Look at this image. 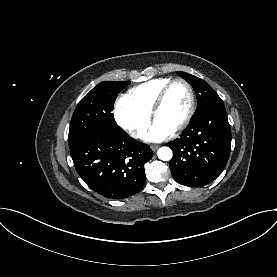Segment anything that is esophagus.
Segmentation results:
<instances>
[{"mask_svg":"<svg viewBox=\"0 0 277 277\" xmlns=\"http://www.w3.org/2000/svg\"><path fill=\"white\" fill-rule=\"evenodd\" d=\"M159 148V145H151L152 151H156Z\"/></svg>","mask_w":277,"mask_h":277,"instance_id":"1","label":"esophagus"}]
</instances>
